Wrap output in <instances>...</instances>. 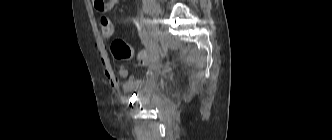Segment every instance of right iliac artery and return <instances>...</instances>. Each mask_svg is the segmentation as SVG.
I'll return each instance as SVG.
<instances>
[{
  "label": "right iliac artery",
  "mask_w": 332,
  "mask_h": 140,
  "mask_svg": "<svg viewBox=\"0 0 332 140\" xmlns=\"http://www.w3.org/2000/svg\"><path fill=\"white\" fill-rule=\"evenodd\" d=\"M143 24H144V30H143L144 36L148 38L152 21L150 19H143Z\"/></svg>",
  "instance_id": "obj_1"
}]
</instances>
